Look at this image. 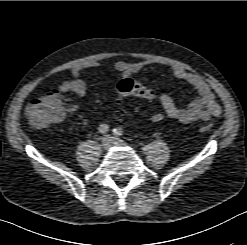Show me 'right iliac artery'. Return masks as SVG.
Masks as SVG:
<instances>
[{"label":"right iliac artery","instance_id":"obj_1","mask_svg":"<svg viewBox=\"0 0 247 245\" xmlns=\"http://www.w3.org/2000/svg\"><path fill=\"white\" fill-rule=\"evenodd\" d=\"M99 133L106 134L109 131V127L107 124H101L98 128Z\"/></svg>","mask_w":247,"mask_h":245}]
</instances>
